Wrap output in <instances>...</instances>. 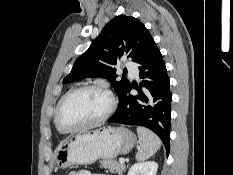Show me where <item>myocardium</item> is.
Wrapping results in <instances>:
<instances>
[{"instance_id": "myocardium-1", "label": "myocardium", "mask_w": 233, "mask_h": 175, "mask_svg": "<svg viewBox=\"0 0 233 175\" xmlns=\"http://www.w3.org/2000/svg\"><path fill=\"white\" fill-rule=\"evenodd\" d=\"M90 89L102 91L108 97V100H109L108 108L106 109V111L101 116H99L96 119L90 120V121L85 122V123H83L81 125H78L76 127L64 128L60 124V121H59L60 109L62 107V104L72 94H74V93H76L78 91L90 90ZM115 108H116L115 97H114L113 93L106 86H104L102 84H97V83L80 85V86H77V87L69 90L59 100V102L57 104V107H56V110H55V116H54L55 126L57 127V129L60 132H63V133L76 132V131L82 130L84 128H87V127H90V126H93V125H96V124H99V123L105 121L106 119H108L112 115V113L115 111Z\"/></svg>"}]
</instances>
